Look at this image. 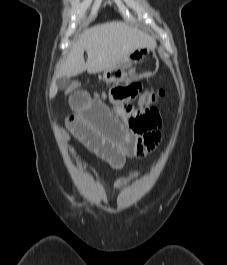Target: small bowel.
<instances>
[{"label": "small bowel", "mask_w": 227, "mask_h": 265, "mask_svg": "<svg viewBox=\"0 0 227 265\" xmlns=\"http://www.w3.org/2000/svg\"><path fill=\"white\" fill-rule=\"evenodd\" d=\"M130 86H141V81H130ZM68 101L74 113L66 120L67 130L115 169H123L126 158L146 157L157 148L162 139L158 129L145 134L134 133L112 115L101 99L91 98L87 91H80V87H73ZM127 107H131V104H127ZM75 161L97 176L93 168L78 158ZM128 180V177L118 179L113 191L117 192Z\"/></svg>", "instance_id": "1"}]
</instances>
